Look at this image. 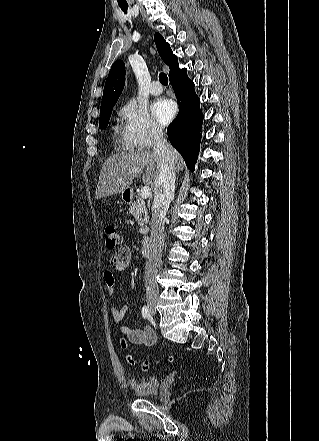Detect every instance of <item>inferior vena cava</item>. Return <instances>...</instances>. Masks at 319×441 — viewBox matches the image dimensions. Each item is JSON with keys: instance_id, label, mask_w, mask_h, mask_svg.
Listing matches in <instances>:
<instances>
[{"instance_id": "inferior-vena-cava-1", "label": "inferior vena cava", "mask_w": 319, "mask_h": 441, "mask_svg": "<svg viewBox=\"0 0 319 441\" xmlns=\"http://www.w3.org/2000/svg\"><path fill=\"white\" fill-rule=\"evenodd\" d=\"M153 152L158 157L159 176L155 185L151 218L150 253L145 267L146 297L159 294L156 275L161 262L165 241L164 217L175 190L174 150L164 138L161 130L154 132Z\"/></svg>"}]
</instances>
